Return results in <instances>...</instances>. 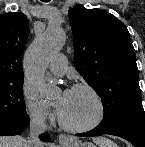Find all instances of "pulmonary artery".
<instances>
[{"instance_id": "pulmonary-artery-1", "label": "pulmonary artery", "mask_w": 145, "mask_h": 147, "mask_svg": "<svg viewBox=\"0 0 145 147\" xmlns=\"http://www.w3.org/2000/svg\"><path fill=\"white\" fill-rule=\"evenodd\" d=\"M50 71L55 75H62L67 70V59L63 54L53 57L49 64Z\"/></svg>"}]
</instances>
